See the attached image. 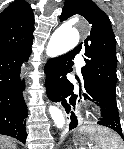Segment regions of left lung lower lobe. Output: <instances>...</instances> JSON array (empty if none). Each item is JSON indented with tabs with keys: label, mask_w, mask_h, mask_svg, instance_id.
<instances>
[{
	"label": "left lung lower lobe",
	"mask_w": 124,
	"mask_h": 149,
	"mask_svg": "<svg viewBox=\"0 0 124 149\" xmlns=\"http://www.w3.org/2000/svg\"><path fill=\"white\" fill-rule=\"evenodd\" d=\"M75 55L73 51H70L57 58L49 59L44 69L46 73L45 86L48 98L65 107L66 111L71 114L69 130L77 127V117L71 111L70 106H75L77 95L73 94V85L67 79V74L72 71L71 67L74 64L73 59ZM81 90L84 92V99L92 101L99 106L101 118H99L98 124L112 129L124 140L116 104V95L108 89L90 82L84 76L80 85V93Z\"/></svg>",
	"instance_id": "1"
}]
</instances>
